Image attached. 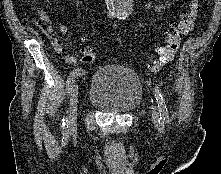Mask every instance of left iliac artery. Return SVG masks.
Returning a JSON list of instances; mask_svg holds the SVG:
<instances>
[{
	"label": "left iliac artery",
	"mask_w": 221,
	"mask_h": 174,
	"mask_svg": "<svg viewBox=\"0 0 221 174\" xmlns=\"http://www.w3.org/2000/svg\"><path fill=\"white\" fill-rule=\"evenodd\" d=\"M154 91H155L156 102H157L159 113H160V119L162 121H167L169 119V114H168V109H167L165 100L163 98V95L161 93V90L156 85Z\"/></svg>",
	"instance_id": "left-iliac-artery-1"
}]
</instances>
